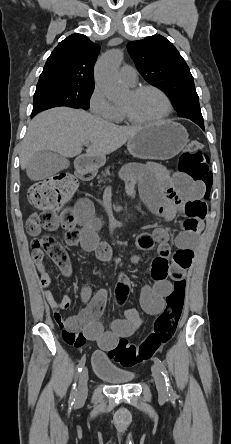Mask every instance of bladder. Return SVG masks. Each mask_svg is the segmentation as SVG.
<instances>
[{
  "label": "bladder",
  "mask_w": 231,
  "mask_h": 444,
  "mask_svg": "<svg viewBox=\"0 0 231 444\" xmlns=\"http://www.w3.org/2000/svg\"><path fill=\"white\" fill-rule=\"evenodd\" d=\"M92 364L94 375L113 385L128 384L136 378L133 372L116 366L111 357L103 352L93 354Z\"/></svg>",
  "instance_id": "31cf9c89"
}]
</instances>
